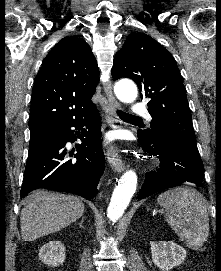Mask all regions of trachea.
Listing matches in <instances>:
<instances>
[{"label":"trachea","instance_id":"obj_1","mask_svg":"<svg viewBox=\"0 0 221 271\" xmlns=\"http://www.w3.org/2000/svg\"><path fill=\"white\" fill-rule=\"evenodd\" d=\"M116 113L123 121L132 120V119H140V116L130 115L129 113H125L124 111H116Z\"/></svg>","mask_w":221,"mask_h":271}]
</instances>
